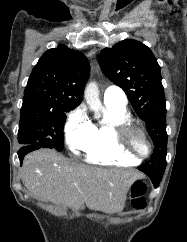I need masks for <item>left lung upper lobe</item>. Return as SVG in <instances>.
<instances>
[{"label":"left lung upper lobe","instance_id":"obj_1","mask_svg":"<svg viewBox=\"0 0 187 242\" xmlns=\"http://www.w3.org/2000/svg\"><path fill=\"white\" fill-rule=\"evenodd\" d=\"M99 64L103 73L125 91L153 140L154 152L139 170L163 174L167 154L166 105L155 56L146 45L130 39L103 49Z\"/></svg>","mask_w":187,"mask_h":242}]
</instances>
